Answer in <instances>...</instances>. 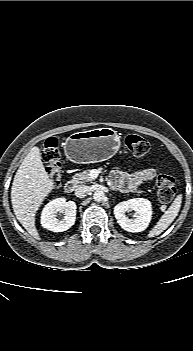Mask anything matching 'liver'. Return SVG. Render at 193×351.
<instances>
[{
  "mask_svg": "<svg viewBox=\"0 0 193 351\" xmlns=\"http://www.w3.org/2000/svg\"><path fill=\"white\" fill-rule=\"evenodd\" d=\"M55 185L45 171L38 147H33L19 166L12 183L11 202L14 214L35 239H40L35 215Z\"/></svg>",
  "mask_w": 193,
  "mask_h": 351,
  "instance_id": "6515ba94",
  "label": "liver"
}]
</instances>
